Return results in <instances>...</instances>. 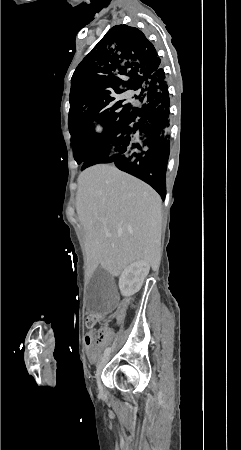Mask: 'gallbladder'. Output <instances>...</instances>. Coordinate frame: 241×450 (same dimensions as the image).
Returning <instances> with one entry per match:
<instances>
[{"label":"gallbladder","instance_id":"1","mask_svg":"<svg viewBox=\"0 0 241 450\" xmlns=\"http://www.w3.org/2000/svg\"><path fill=\"white\" fill-rule=\"evenodd\" d=\"M86 298V310H91L92 315H113L118 303L114 275L99 266L90 280Z\"/></svg>","mask_w":241,"mask_h":450}]
</instances>
